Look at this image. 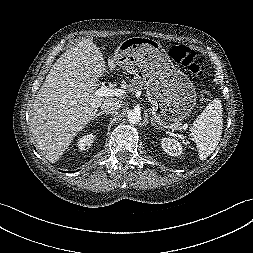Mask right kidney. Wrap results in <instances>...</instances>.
<instances>
[{"label": "right kidney", "mask_w": 253, "mask_h": 253, "mask_svg": "<svg viewBox=\"0 0 253 253\" xmlns=\"http://www.w3.org/2000/svg\"><path fill=\"white\" fill-rule=\"evenodd\" d=\"M94 139L95 135L92 133L82 136L77 142L78 149L81 151L88 150L94 142Z\"/></svg>", "instance_id": "right-kidney-1"}]
</instances>
